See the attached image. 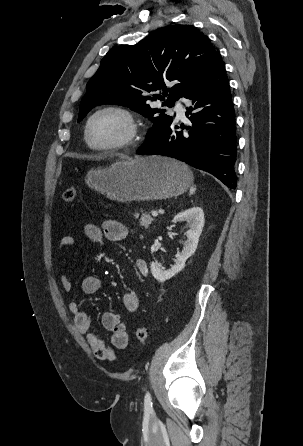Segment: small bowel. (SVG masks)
I'll return each instance as SVG.
<instances>
[{
  "mask_svg": "<svg viewBox=\"0 0 303 446\" xmlns=\"http://www.w3.org/2000/svg\"><path fill=\"white\" fill-rule=\"evenodd\" d=\"M84 234L86 238L93 243H99L104 238L111 242H120L125 240L131 234V229L117 220H106L101 227L92 223L86 224L84 226ZM74 243V238L67 235L59 240L58 247L60 250L69 249ZM135 268L141 277L146 278L148 276V264L144 259H136ZM61 283L65 291H70L72 289V282L66 274H62ZM100 287L101 280L96 274L86 275L81 282V289L85 294H94ZM122 302L124 308L129 313H135L140 308V299L134 291L129 290L124 292L122 295ZM69 310L73 315L76 328L86 335L87 343L97 358L113 361L116 358V350L125 349L127 347L128 333L116 313L104 312L101 317L102 326L111 333V346H107L105 342L91 330L90 318L75 300H72L69 303Z\"/></svg>",
  "mask_w": 303,
  "mask_h": 446,
  "instance_id": "c3829d8e",
  "label": "small bowel"
}]
</instances>
